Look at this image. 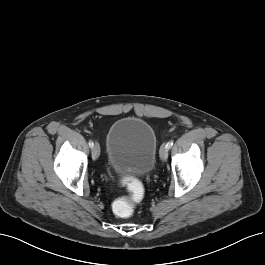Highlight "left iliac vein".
<instances>
[{
    "label": "left iliac vein",
    "instance_id": "4c4485c4",
    "mask_svg": "<svg viewBox=\"0 0 265 265\" xmlns=\"http://www.w3.org/2000/svg\"><path fill=\"white\" fill-rule=\"evenodd\" d=\"M159 154H160V158H161L162 161H166L167 160V158H168V148H167L166 144H163L161 146Z\"/></svg>",
    "mask_w": 265,
    "mask_h": 265
}]
</instances>
